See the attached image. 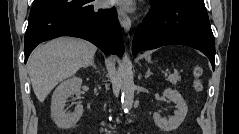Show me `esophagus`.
I'll list each match as a JSON object with an SVG mask.
<instances>
[{"mask_svg": "<svg viewBox=\"0 0 239 134\" xmlns=\"http://www.w3.org/2000/svg\"><path fill=\"white\" fill-rule=\"evenodd\" d=\"M118 19L121 26L124 28L126 32H128L131 28V19L130 17L121 9L118 10Z\"/></svg>", "mask_w": 239, "mask_h": 134, "instance_id": "1", "label": "esophagus"}]
</instances>
